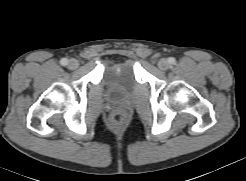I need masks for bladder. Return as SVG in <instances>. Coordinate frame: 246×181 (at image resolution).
<instances>
[{
	"label": "bladder",
	"mask_w": 246,
	"mask_h": 181,
	"mask_svg": "<svg viewBox=\"0 0 246 181\" xmlns=\"http://www.w3.org/2000/svg\"><path fill=\"white\" fill-rule=\"evenodd\" d=\"M109 86L113 94L119 96L135 85L136 70L131 62H124L112 70Z\"/></svg>",
	"instance_id": "1"
}]
</instances>
